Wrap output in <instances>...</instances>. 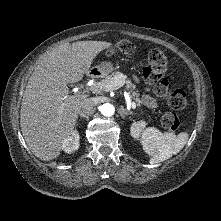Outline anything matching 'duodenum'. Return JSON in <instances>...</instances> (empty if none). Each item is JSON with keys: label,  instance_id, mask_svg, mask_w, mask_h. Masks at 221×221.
<instances>
[{"label": "duodenum", "instance_id": "1", "mask_svg": "<svg viewBox=\"0 0 221 221\" xmlns=\"http://www.w3.org/2000/svg\"><path fill=\"white\" fill-rule=\"evenodd\" d=\"M89 77H90V78H95V77H97V73H96V72H93V73H91V74L89 75Z\"/></svg>", "mask_w": 221, "mask_h": 221}]
</instances>
